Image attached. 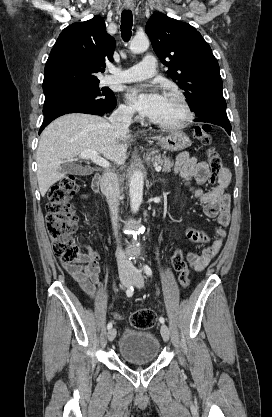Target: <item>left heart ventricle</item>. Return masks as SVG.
<instances>
[{"label":"left heart ventricle","mask_w":272,"mask_h":417,"mask_svg":"<svg viewBox=\"0 0 272 417\" xmlns=\"http://www.w3.org/2000/svg\"><path fill=\"white\" fill-rule=\"evenodd\" d=\"M183 116L184 111L179 101L173 97L165 96L162 109L153 121L160 123H174L181 120Z\"/></svg>","instance_id":"1"}]
</instances>
